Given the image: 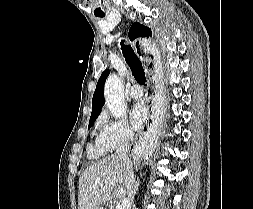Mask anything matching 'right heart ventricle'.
<instances>
[{"label":"right heart ventricle","mask_w":253,"mask_h":209,"mask_svg":"<svg viewBox=\"0 0 253 209\" xmlns=\"http://www.w3.org/2000/svg\"><path fill=\"white\" fill-rule=\"evenodd\" d=\"M89 154L91 156H101L102 154H104L106 151H108L107 149H105L98 140H96V143L94 146H90L89 147Z\"/></svg>","instance_id":"1"}]
</instances>
